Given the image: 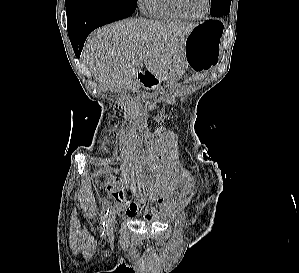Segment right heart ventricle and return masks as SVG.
<instances>
[{
    "label": "right heart ventricle",
    "instance_id": "e07e8e85",
    "mask_svg": "<svg viewBox=\"0 0 299 273\" xmlns=\"http://www.w3.org/2000/svg\"><path fill=\"white\" fill-rule=\"evenodd\" d=\"M143 10L150 17L166 20L181 21L186 17L177 9L174 0H143Z\"/></svg>",
    "mask_w": 299,
    "mask_h": 273
}]
</instances>
